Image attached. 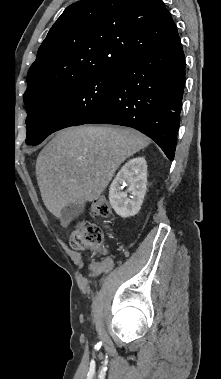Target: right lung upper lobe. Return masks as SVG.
<instances>
[{"label":"right lung upper lobe","mask_w":221,"mask_h":379,"mask_svg":"<svg viewBox=\"0 0 221 379\" xmlns=\"http://www.w3.org/2000/svg\"><path fill=\"white\" fill-rule=\"evenodd\" d=\"M178 36L161 0H81L68 6L38 49L24 103L58 85L121 66Z\"/></svg>","instance_id":"right-lung-upper-lobe-1"}]
</instances>
